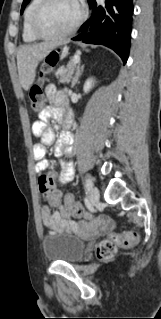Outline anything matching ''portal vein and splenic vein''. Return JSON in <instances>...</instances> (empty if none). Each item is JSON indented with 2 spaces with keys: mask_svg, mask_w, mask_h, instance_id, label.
<instances>
[{
  "mask_svg": "<svg viewBox=\"0 0 161 319\" xmlns=\"http://www.w3.org/2000/svg\"><path fill=\"white\" fill-rule=\"evenodd\" d=\"M79 61H80V57L78 55H75L73 59L74 64L78 63Z\"/></svg>",
  "mask_w": 161,
  "mask_h": 319,
  "instance_id": "obj_1",
  "label": "portal vein and splenic vein"
}]
</instances>
